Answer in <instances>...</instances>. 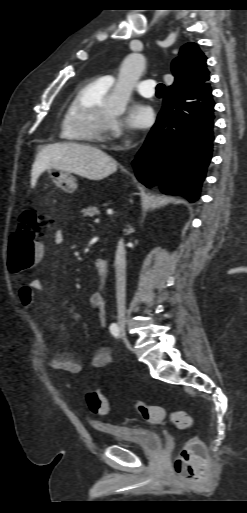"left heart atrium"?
<instances>
[{"mask_svg":"<svg viewBox=\"0 0 247 513\" xmlns=\"http://www.w3.org/2000/svg\"><path fill=\"white\" fill-rule=\"evenodd\" d=\"M129 120L137 128H147L154 123L155 113L150 106L136 103L130 108Z\"/></svg>","mask_w":247,"mask_h":513,"instance_id":"1","label":"left heart atrium"}]
</instances>
